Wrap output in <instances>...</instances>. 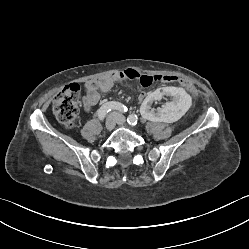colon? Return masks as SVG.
Instances as JSON below:
<instances>
[{
	"label": "colon",
	"mask_w": 249,
	"mask_h": 249,
	"mask_svg": "<svg viewBox=\"0 0 249 249\" xmlns=\"http://www.w3.org/2000/svg\"><path fill=\"white\" fill-rule=\"evenodd\" d=\"M157 81H162L163 83H176L178 81V78L176 76L152 77L141 75L140 79L134 81V83L140 88H148ZM79 92L80 86L76 83H70L54 96V114L58 121L66 128L74 127L78 121ZM191 93L195 94L194 91H192Z\"/></svg>",
	"instance_id": "obj_1"
}]
</instances>
